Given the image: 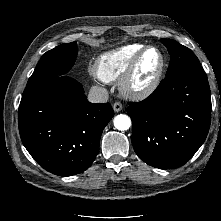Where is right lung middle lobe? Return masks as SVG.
Returning <instances> with one entry per match:
<instances>
[{"mask_svg": "<svg viewBox=\"0 0 221 221\" xmlns=\"http://www.w3.org/2000/svg\"><path fill=\"white\" fill-rule=\"evenodd\" d=\"M77 55L76 42L62 44L47 51L38 62L33 75L42 73L65 74L73 66Z\"/></svg>", "mask_w": 221, "mask_h": 221, "instance_id": "right-lung-middle-lobe-1", "label": "right lung middle lobe"}]
</instances>
